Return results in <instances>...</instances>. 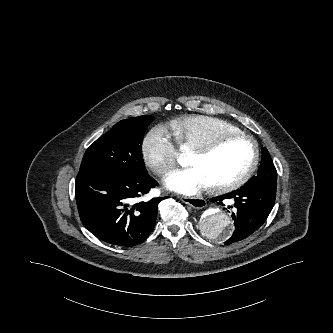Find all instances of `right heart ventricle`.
<instances>
[{"label":"right heart ventricle","instance_id":"obj_1","mask_svg":"<svg viewBox=\"0 0 333 333\" xmlns=\"http://www.w3.org/2000/svg\"><path fill=\"white\" fill-rule=\"evenodd\" d=\"M168 127L177 145L191 150L219 134L241 132L224 120L205 115L183 116L172 120Z\"/></svg>","mask_w":333,"mask_h":333}]
</instances>
